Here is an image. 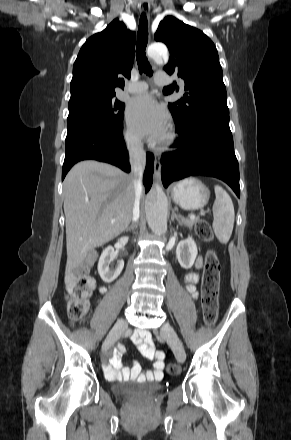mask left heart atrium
I'll return each mask as SVG.
<instances>
[{
  "label": "left heart atrium",
  "instance_id": "39dd6f15",
  "mask_svg": "<svg viewBox=\"0 0 291 440\" xmlns=\"http://www.w3.org/2000/svg\"><path fill=\"white\" fill-rule=\"evenodd\" d=\"M126 116L133 132L142 137L158 140L168 129L169 116L165 108L147 94L131 99Z\"/></svg>",
  "mask_w": 291,
  "mask_h": 440
}]
</instances>
